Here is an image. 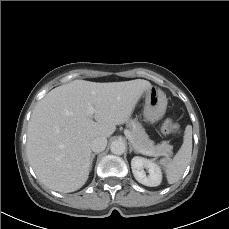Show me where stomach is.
<instances>
[{"instance_id": "0dacf381", "label": "stomach", "mask_w": 229, "mask_h": 229, "mask_svg": "<svg viewBox=\"0 0 229 229\" xmlns=\"http://www.w3.org/2000/svg\"><path fill=\"white\" fill-rule=\"evenodd\" d=\"M144 98V121L154 124L165 114L167 107L166 95L160 88L152 86L144 92Z\"/></svg>"}]
</instances>
